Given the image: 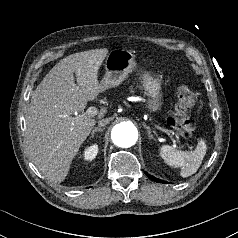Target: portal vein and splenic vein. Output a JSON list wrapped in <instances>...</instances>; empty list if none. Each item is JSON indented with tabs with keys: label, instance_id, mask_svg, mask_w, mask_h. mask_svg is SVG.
I'll return each mask as SVG.
<instances>
[{
	"label": "portal vein and splenic vein",
	"instance_id": "18ae733b",
	"mask_svg": "<svg viewBox=\"0 0 238 238\" xmlns=\"http://www.w3.org/2000/svg\"><path fill=\"white\" fill-rule=\"evenodd\" d=\"M97 114H98L97 108L91 106V107H89V108L87 109V111L85 112L84 115H87V116H95V115H97ZM163 131L166 132V133L168 132V131L165 130V129H163ZM173 142H174V146H175V140H173Z\"/></svg>",
	"mask_w": 238,
	"mask_h": 238
}]
</instances>
